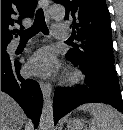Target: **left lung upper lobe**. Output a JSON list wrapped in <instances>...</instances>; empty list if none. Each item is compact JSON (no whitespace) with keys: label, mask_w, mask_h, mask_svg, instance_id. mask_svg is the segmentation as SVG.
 <instances>
[{"label":"left lung upper lobe","mask_w":123,"mask_h":130,"mask_svg":"<svg viewBox=\"0 0 123 130\" xmlns=\"http://www.w3.org/2000/svg\"><path fill=\"white\" fill-rule=\"evenodd\" d=\"M66 8L72 40L79 41L66 54L72 62L114 70L110 14L105 0H54ZM116 72V71H115Z\"/></svg>","instance_id":"left-lung-upper-lobe-1"}]
</instances>
